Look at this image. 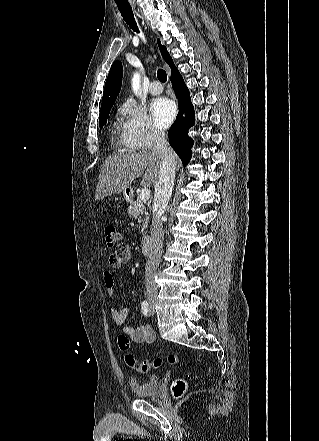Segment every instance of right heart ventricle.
Masks as SVG:
<instances>
[{
  "label": "right heart ventricle",
  "mask_w": 319,
  "mask_h": 441,
  "mask_svg": "<svg viewBox=\"0 0 319 441\" xmlns=\"http://www.w3.org/2000/svg\"><path fill=\"white\" fill-rule=\"evenodd\" d=\"M113 143L118 149L128 150V147L124 141L122 126H120L118 123H115L113 126Z\"/></svg>",
  "instance_id": "e07e8e85"
}]
</instances>
